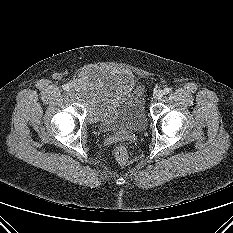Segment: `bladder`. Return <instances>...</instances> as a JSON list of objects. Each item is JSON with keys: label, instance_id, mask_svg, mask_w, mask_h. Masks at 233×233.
Segmentation results:
<instances>
[{"label": "bladder", "instance_id": "1", "mask_svg": "<svg viewBox=\"0 0 233 233\" xmlns=\"http://www.w3.org/2000/svg\"><path fill=\"white\" fill-rule=\"evenodd\" d=\"M87 119L105 131H142L147 126L144 92L124 70L90 66L71 82Z\"/></svg>", "mask_w": 233, "mask_h": 233}]
</instances>
